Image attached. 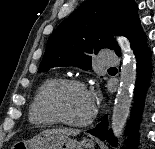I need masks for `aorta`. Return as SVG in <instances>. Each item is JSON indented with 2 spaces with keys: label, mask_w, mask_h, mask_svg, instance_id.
<instances>
[{
  "label": "aorta",
  "mask_w": 155,
  "mask_h": 149,
  "mask_svg": "<svg viewBox=\"0 0 155 149\" xmlns=\"http://www.w3.org/2000/svg\"><path fill=\"white\" fill-rule=\"evenodd\" d=\"M117 40L125 59L120 73L119 89L114 102L111 128L114 136L119 141L131 108L132 93L137 75V62L129 40L125 37H118Z\"/></svg>",
  "instance_id": "762f6f07"
}]
</instances>
